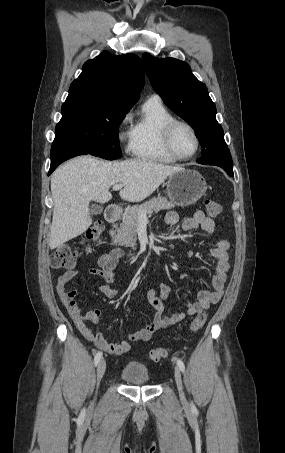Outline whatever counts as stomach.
I'll return each mask as SVG.
<instances>
[{
    "label": "stomach",
    "mask_w": 285,
    "mask_h": 453,
    "mask_svg": "<svg viewBox=\"0 0 285 453\" xmlns=\"http://www.w3.org/2000/svg\"><path fill=\"white\" fill-rule=\"evenodd\" d=\"M166 185L171 202L181 207L194 204L207 190L203 176L195 170L185 168L171 174Z\"/></svg>",
    "instance_id": "obj_1"
}]
</instances>
